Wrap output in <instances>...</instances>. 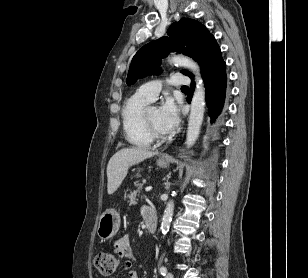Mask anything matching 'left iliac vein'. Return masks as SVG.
Listing matches in <instances>:
<instances>
[{"label": "left iliac vein", "instance_id": "obj_1", "mask_svg": "<svg viewBox=\"0 0 308 278\" xmlns=\"http://www.w3.org/2000/svg\"><path fill=\"white\" fill-rule=\"evenodd\" d=\"M165 278H174V276L172 273L169 272L166 274Z\"/></svg>", "mask_w": 308, "mask_h": 278}]
</instances>
